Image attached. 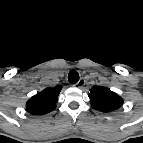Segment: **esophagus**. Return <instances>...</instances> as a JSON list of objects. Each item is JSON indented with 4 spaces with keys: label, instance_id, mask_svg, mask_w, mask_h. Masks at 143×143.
I'll list each match as a JSON object with an SVG mask.
<instances>
[{
    "label": "esophagus",
    "instance_id": "1",
    "mask_svg": "<svg viewBox=\"0 0 143 143\" xmlns=\"http://www.w3.org/2000/svg\"><path fill=\"white\" fill-rule=\"evenodd\" d=\"M85 80L83 78H81L75 85L78 87V88H82L84 85H85Z\"/></svg>",
    "mask_w": 143,
    "mask_h": 143
}]
</instances>
